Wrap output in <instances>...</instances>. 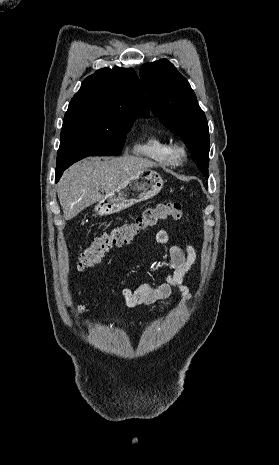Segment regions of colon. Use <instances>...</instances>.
<instances>
[{
	"label": "colon",
	"instance_id": "5ec220e1",
	"mask_svg": "<svg viewBox=\"0 0 279 465\" xmlns=\"http://www.w3.org/2000/svg\"><path fill=\"white\" fill-rule=\"evenodd\" d=\"M182 213L180 203H158L144 210L134 221L102 232L79 255L78 269L85 270L93 267L111 248L129 244L135 237L161 220L167 218L178 220L182 217Z\"/></svg>",
	"mask_w": 279,
	"mask_h": 465
}]
</instances>
